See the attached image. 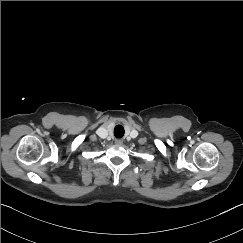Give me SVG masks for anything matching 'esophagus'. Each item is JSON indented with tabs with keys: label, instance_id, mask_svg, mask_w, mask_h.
I'll use <instances>...</instances> for the list:
<instances>
[{
	"label": "esophagus",
	"instance_id": "esophagus-1",
	"mask_svg": "<svg viewBox=\"0 0 243 243\" xmlns=\"http://www.w3.org/2000/svg\"><path fill=\"white\" fill-rule=\"evenodd\" d=\"M115 143H116L117 145H122V144H123V141H122V139H116V140H115Z\"/></svg>",
	"mask_w": 243,
	"mask_h": 243
}]
</instances>
